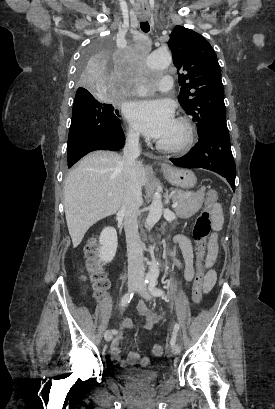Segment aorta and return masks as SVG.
Returning <instances> with one entry per match:
<instances>
[{"mask_svg":"<svg viewBox=\"0 0 275 409\" xmlns=\"http://www.w3.org/2000/svg\"><path fill=\"white\" fill-rule=\"evenodd\" d=\"M146 60L148 65L168 66L172 60L167 51H146ZM163 211V205L159 194H154L153 200L149 207V215L146 219V227H154L158 223ZM159 277V265L153 259L150 269L146 275V281H157Z\"/></svg>","mask_w":275,"mask_h":409,"instance_id":"1","label":"aorta"}]
</instances>
